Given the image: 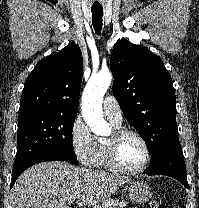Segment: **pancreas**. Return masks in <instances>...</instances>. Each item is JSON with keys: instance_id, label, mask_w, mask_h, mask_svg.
<instances>
[{"instance_id": "obj_1", "label": "pancreas", "mask_w": 199, "mask_h": 208, "mask_svg": "<svg viewBox=\"0 0 199 208\" xmlns=\"http://www.w3.org/2000/svg\"><path fill=\"white\" fill-rule=\"evenodd\" d=\"M126 201H119L114 199H107L102 204L97 205L94 208H125L127 206Z\"/></svg>"}]
</instances>
